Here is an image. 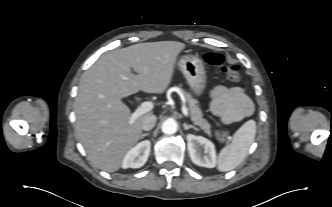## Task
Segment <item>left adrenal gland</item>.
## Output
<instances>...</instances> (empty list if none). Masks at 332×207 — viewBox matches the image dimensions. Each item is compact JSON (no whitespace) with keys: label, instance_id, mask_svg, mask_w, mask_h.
Here are the masks:
<instances>
[{"label":"left adrenal gland","instance_id":"1","mask_svg":"<svg viewBox=\"0 0 332 207\" xmlns=\"http://www.w3.org/2000/svg\"><path fill=\"white\" fill-rule=\"evenodd\" d=\"M183 127H184V130H188V129L192 128V129L198 131V128H196L195 126L190 125V124L188 125V124L184 123Z\"/></svg>","mask_w":332,"mask_h":207}]
</instances>
